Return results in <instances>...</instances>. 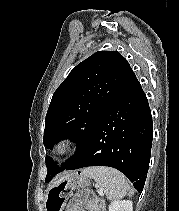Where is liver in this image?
I'll list each match as a JSON object with an SVG mask.
<instances>
[{"mask_svg":"<svg viewBox=\"0 0 179 211\" xmlns=\"http://www.w3.org/2000/svg\"><path fill=\"white\" fill-rule=\"evenodd\" d=\"M63 179H64V177H61L60 179L55 180V181L53 182L52 186L58 184V182H60V181L63 180Z\"/></svg>","mask_w":179,"mask_h":211,"instance_id":"6515ba94","label":"liver"}]
</instances>
